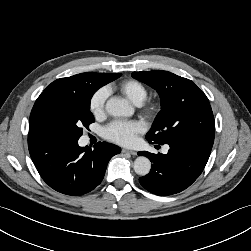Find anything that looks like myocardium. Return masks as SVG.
Masks as SVG:
<instances>
[{
    "label": "myocardium",
    "mask_w": 251,
    "mask_h": 251,
    "mask_svg": "<svg viewBox=\"0 0 251 251\" xmlns=\"http://www.w3.org/2000/svg\"><path fill=\"white\" fill-rule=\"evenodd\" d=\"M145 114L152 116L158 111V105L155 103H142L140 104Z\"/></svg>",
    "instance_id": "myocardium-1"
}]
</instances>
